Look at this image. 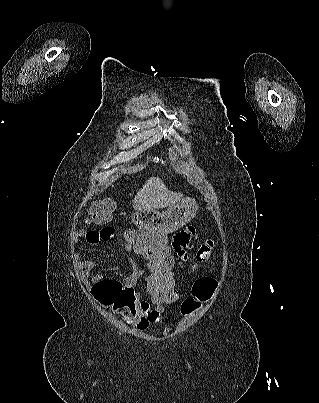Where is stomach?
<instances>
[{"label":"stomach","instance_id":"obj_1","mask_svg":"<svg viewBox=\"0 0 319 403\" xmlns=\"http://www.w3.org/2000/svg\"><path fill=\"white\" fill-rule=\"evenodd\" d=\"M197 209L195 200L187 198L170 206L165 212L155 209L133 210L130 221L141 234H169L190 222Z\"/></svg>","mask_w":319,"mask_h":403}]
</instances>
